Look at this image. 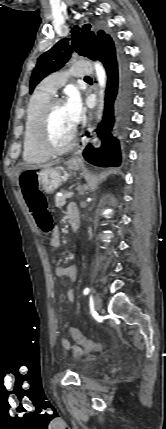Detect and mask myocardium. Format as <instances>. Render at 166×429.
Here are the masks:
<instances>
[{
  "label": "myocardium",
  "instance_id": "obj_1",
  "mask_svg": "<svg viewBox=\"0 0 166 429\" xmlns=\"http://www.w3.org/2000/svg\"><path fill=\"white\" fill-rule=\"evenodd\" d=\"M64 103L62 98L52 97L43 107L37 122L36 141L38 147L49 155H58L73 148L77 138V128L74 126L69 141L62 146L54 145L50 140L49 123L54 108Z\"/></svg>",
  "mask_w": 166,
  "mask_h": 429
}]
</instances>
